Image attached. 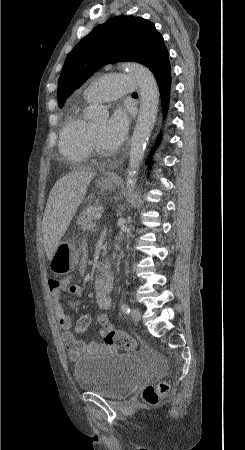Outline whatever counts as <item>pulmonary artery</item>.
<instances>
[{"instance_id":"e3ab8cb5","label":"pulmonary artery","mask_w":245,"mask_h":450,"mask_svg":"<svg viewBox=\"0 0 245 450\" xmlns=\"http://www.w3.org/2000/svg\"><path fill=\"white\" fill-rule=\"evenodd\" d=\"M139 82L128 74L107 75L92 81L84 90L90 102H106L133 94Z\"/></svg>"}]
</instances>
